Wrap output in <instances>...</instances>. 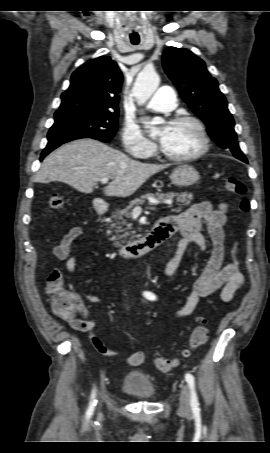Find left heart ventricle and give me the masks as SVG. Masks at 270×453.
<instances>
[{
    "label": "left heart ventricle",
    "mask_w": 270,
    "mask_h": 453,
    "mask_svg": "<svg viewBox=\"0 0 270 453\" xmlns=\"http://www.w3.org/2000/svg\"><path fill=\"white\" fill-rule=\"evenodd\" d=\"M165 128L168 129V132L161 142V146L166 153L182 156L192 154L201 147L200 135L194 125L190 123L169 124L162 130Z\"/></svg>",
    "instance_id": "obj_1"
}]
</instances>
